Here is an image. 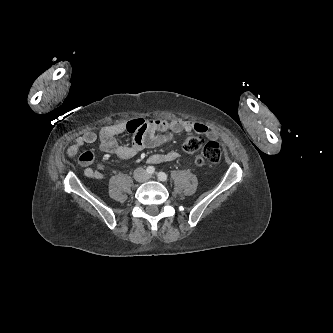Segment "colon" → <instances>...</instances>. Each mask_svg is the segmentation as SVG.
Instances as JSON below:
<instances>
[{"instance_id": "colon-1", "label": "colon", "mask_w": 333, "mask_h": 333, "mask_svg": "<svg viewBox=\"0 0 333 333\" xmlns=\"http://www.w3.org/2000/svg\"><path fill=\"white\" fill-rule=\"evenodd\" d=\"M203 146V140L197 136L188 137L184 144L183 150L188 154L197 152ZM222 150L218 143L208 142L203 146L201 155L197 156L195 162L199 166L205 164H217L221 161Z\"/></svg>"}]
</instances>
